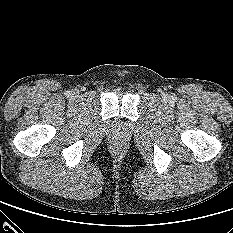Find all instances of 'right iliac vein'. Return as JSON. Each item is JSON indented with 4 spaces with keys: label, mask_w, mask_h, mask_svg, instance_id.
Wrapping results in <instances>:
<instances>
[{
    "label": "right iliac vein",
    "mask_w": 233,
    "mask_h": 233,
    "mask_svg": "<svg viewBox=\"0 0 233 233\" xmlns=\"http://www.w3.org/2000/svg\"><path fill=\"white\" fill-rule=\"evenodd\" d=\"M73 95H77V92H73Z\"/></svg>",
    "instance_id": "1"
}]
</instances>
